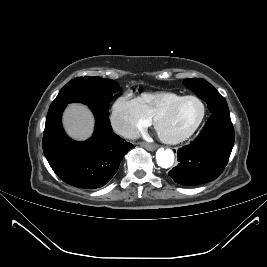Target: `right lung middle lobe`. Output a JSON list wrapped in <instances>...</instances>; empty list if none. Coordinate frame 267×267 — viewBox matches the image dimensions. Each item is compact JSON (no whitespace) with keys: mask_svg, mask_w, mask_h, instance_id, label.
<instances>
[{"mask_svg":"<svg viewBox=\"0 0 267 267\" xmlns=\"http://www.w3.org/2000/svg\"><path fill=\"white\" fill-rule=\"evenodd\" d=\"M118 83L101 77H79L68 82L50 105L49 111L65 107L72 102L84 103L109 113L112 95L119 91Z\"/></svg>","mask_w":267,"mask_h":267,"instance_id":"dd1d6c3e","label":"right lung middle lobe"}]
</instances>
